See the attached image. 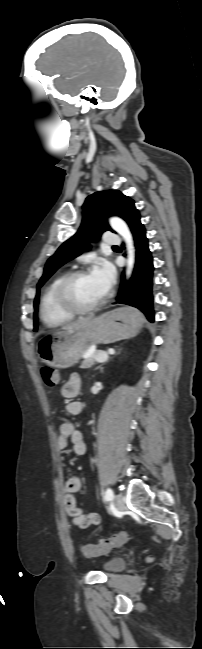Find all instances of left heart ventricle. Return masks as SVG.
Returning <instances> with one entry per match:
<instances>
[{
  "mask_svg": "<svg viewBox=\"0 0 202 649\" xmlns=\"http://www.w3.org/2000/svg\"><path fill=\"white\" fill-rule=\"evenodd\" d=\"M105 295L90 277V273L78 278L73 286L72 296L80 306H89Z\"/></svg>",
  "mask_w": 202,
  "mask_h": 649,
  "instance_id": "left-heart-ventricle-1",
  "label": "left heart ventricle"
}]
</instances>
